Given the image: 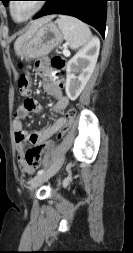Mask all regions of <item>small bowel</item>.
Segmentation results:
<instances>
[{
  "label": "small bowel",
  "mask_w": 133,
  "mask_h": 253,
  "mask_svg": "<svg viewBox=\"0 0 133 253\" xmlns=\"http://www.w3.org/2000/svg\"><path fill=\"white\" fill-rule=\"evenodd\" d=\"M36 69L38 75L44 80L43 93L55 98L53 110L57 113L63 112L69 104V98L62 93L63 80L59 73L50 67V62L46 57L37 60ZM41 111L42 108L35 102V97H22V104L17 108L14 115L13 129L15 131L18 163L20 168L27 174H32L35 170L26 161L27 151L43 145L52 135L60 131L66 123V118L60 117L52 125L38 131H26L23 120L31 113Z\"/></svg>",
  "instance_id": "1"
}]
</instances>
